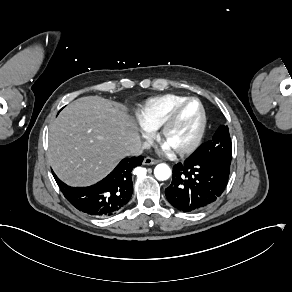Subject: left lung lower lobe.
Instances as JSON below:
<instances>
[{
  "label": "left lung lower lobe",
  "instance_id": "1",
  "mask_svg": "<svg viewBox=\"0 0 292 292\" xmlns=\"http://www.w3.org/2000/svg\"><path fill=\"white\" fill-rule=\"evenodd\" d=\"M231 160L202 159L193 153L173 167L172 182L165 189L169 203L183 212H196L210 206L223 193Z\"/></svg>",
  "mask_w": 292,
  "mask_h": 292
}]
</instances>
